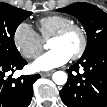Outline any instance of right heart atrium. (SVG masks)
I'll return each mask as SVG.
<instances>
[{
    "mask_svg": "<svg viewBox=\"0 0 107 107\" xmlns=\"http://www.w3.org/2000/svg\"><path fill=\"white\" fill-rule=\"evenodd\" d=\"M13 42L17 51L26 59L36 58L43 49V40L26 22L20 23L13 34Z\"/></svg>",
    "mask_w": 107,
    "mask_h": 107,
    "instance_id": "right-heart-atrium-1",
    "label": "right heart atrium"
}]
</instances>
